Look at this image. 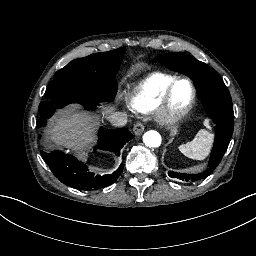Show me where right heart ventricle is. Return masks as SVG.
I'll use <instances>...</instances> for the list:
<instances>
[{
    "mask_svg": "<svg viewBox=\"0 0 256 256\" xmlns=\"http://www.w3.org/2000/svg\"><path fill=\"white\" fill-rule=\"evenodd\" d=\"M176 79L177 76L173 74L153 73L135 89L134 99H146L150 103H155Z\"/></svg>",
    "mask_w": 256,
    "mask_h": 256,
    "instance_id": "1",
    "label": "right heart ventricle"
}]
</instances>
